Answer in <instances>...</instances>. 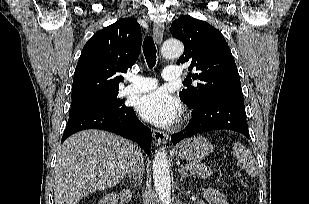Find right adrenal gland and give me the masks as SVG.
I'll return each instance as SVG.
<instances>
[{
    "mask_svg": "<svg viewBox=\"0 0 309 204\" xmlns=\"http://www.w3.org/2000/svg\"><path fill=\"white\" fill-rule=\"evenodd\" d=\"M132 182L134 183V186H136L137 184L141 185V179L138 180H132ZM130 184H131V180H130Z\"/></svg>",
    "mask_w": 309,
    "mask_h": 204,
    "instance_id": "1",
    "label": "right adrenal gland"
}]
</instances>
